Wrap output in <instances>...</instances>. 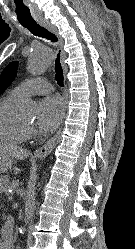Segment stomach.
<instances>
[{
	"mask_svg": "<svg viewBox=\"0 0 135 249\" xmlns=\"http://www.w3.org/2000/svg\"><path fill=\"white\" fill-rule=\"evenodd\" d=\"M12 158L5 155V154H0V174L6 173L9 169L12 167ZM0 180H3L1 178Z\"/></svg>",
	"mask_w": 135,
	"mask_h": 249,
	"instance_id": "0dacf381",
	"label": "stomach"
}]
</instances>
